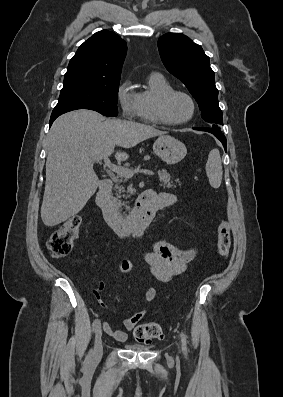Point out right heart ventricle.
<instances>
[{
    "instance_id": "right-heart-ventricle-1",
    "label": "right heart ventricle",
    "mask_w": 283,
    "mask_h": 397,
    "mask_svg": "<svg viewBox=\"0 0 283 397\" xmlns=\"http://www.w3.org/2000/svg\"><path fill=\"white\" fill-rule=\"evenodd\" d=\"M173 89L171 83L164 76L150 74L145 89L138 93L141 119L148 123L158 124L156 116L158 100L164 93Z\"/></svg>"
}]
</instances>
